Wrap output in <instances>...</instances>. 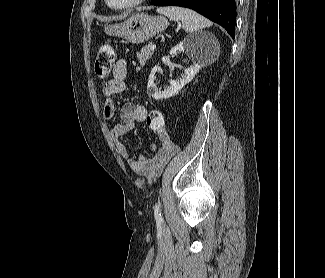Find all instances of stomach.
<instances>
[{"mask_svg":"<svg viewBox=\"0 0 325 278\" xmlns=\"http://www.w3.org/2000/svg\"><path fill=\"white\" fill-rule=\"evenodd\" d=\"M169 22L162 16L135 13L123 23L106 25L104 31L110 36L121 37L133 44H141L163 32Z\"/></svg>","mask_w":325,"mask_h":278,"instance_id":"obj_1","label":"stomach"}]
</instances>
